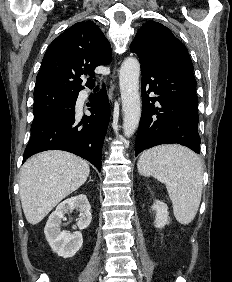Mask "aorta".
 Wrapping results in <instances>:
<instances>
[{
    "mask_svg": "<svg viewBox=\"0 0 232 282\" xmlns=\"http://www.w3.org/2000/svg\"><path fill=\"white\" fill-rule=\"evenodd\" d=\"M140 64L134 57L124 60L120 68L119 84L123 109V131L130 137L137 129L141 116L139 95Z\"/></svg>",
    "mask_w": 232,
    "mask_h": 282,
    "instance_id": "aorta-1",
    "label": "aorta"
}]
</instances>
